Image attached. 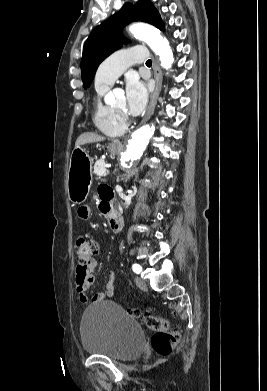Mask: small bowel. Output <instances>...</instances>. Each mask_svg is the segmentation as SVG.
I'll use <instances>...</instances> for the list:
<instances>
[{"label":"small bowel","instance_id":"small-bowel-1","mask_svg":"<svg viewBox=\"0 0 267 391\" xmlns=\"http://www.w3.org/2000/svg\"><path fill=\"white\" fill-rule=\"evenodd\" d=\"M98 194L102 201L101 206L104 205H113V193L111 188L108 185H100L98 188ZM77 215L82 220H87L90 215V210L87 206H81ZM96 263L93 261L91 269L87 272H82L81 270H76V290L79 296V299L82 304L97 303L106 298H110L114 295L115 290V273L113 271L109 272V280L106 285V289L102 292L96 293L91 299L87 296V291L90 288L94 280V269Z\"/></svg>","mask_w":267,"mask_h":391}]
</instances>
